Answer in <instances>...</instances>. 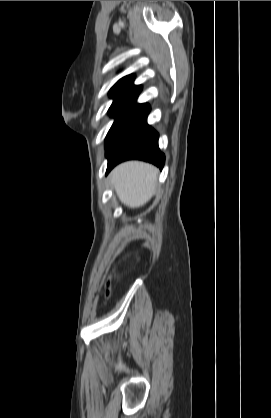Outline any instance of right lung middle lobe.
Masks as SVG:
<instances>
[{
  "mask_svg": "<svg viewBox=\"0 0 271 418\" xmlns=\"http://www.w3.org/2000/svg\"><path fill=\"white\" fill-rule=\"evenodd\" d=\"M149 111L148 104H137L135 101L128 100L114 101L108 111L115 117V121L106 137V149L121 133L147 115Z\"/></svg>",
  "mask_w": 271,
  "mask_h": 418,
  "instance_id": "1",
  "label": "right lung middle lobe"
}]
</instances>
